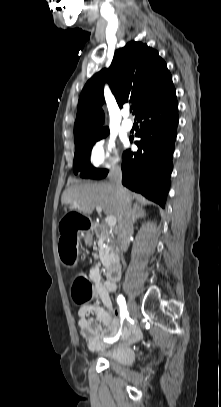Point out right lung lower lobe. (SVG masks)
Wrapping results in <instances>:
<instances>
[{
  "label": "right lung lower lobe",
  "instance_id": "right-lung-lower-lobe-1",
  "mask_svg": "<svg viewBox=\"0 0 221 407\" xmlns=\"http://www.w3.org/2000/svg\"><path fill=\"white\" fill-rule=\"evenodd\" d=\"M141 137L137 152L123 154L122 184L164 207L177 136L178 102L174 86L136 116Z\"/></svg>",
  "mask_w": 221,
  "mask_h": 407
}]
</instances>
